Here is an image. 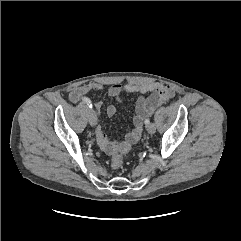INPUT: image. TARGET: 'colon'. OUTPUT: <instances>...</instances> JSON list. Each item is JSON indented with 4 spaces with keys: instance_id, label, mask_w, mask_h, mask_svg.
Segmentation results:
<instances>
[{
    "instance_id": "colon-1",
    "label": "colon",
    "mask_w": 241,
    "mask_h": 241,
    "mask_svg": "<svg viewBox=\"0 0 241 241\" xmlns=\"http://www.w3.org/2000/svg\"><path fill=\"white\" fill-rule=\"evenodd\" d=\"M130 146H125L119 153H116L111 158V167L113 169H119L124 163V157L129 151Z\"/></svg>"
}]
</instances>
